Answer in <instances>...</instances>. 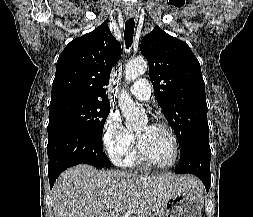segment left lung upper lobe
Segmentation results:
<instances>
[{
	"label": "left lung upper lobe",
	"mask_w": 253,
	"mask_h": 217,
	"mask_svg": "<svg viewBox=\"0 0 253 217\" xmlns=\"http://www.w3.org/2000/svg\"><path fill=\"white\" fill-rule=\"evenodd\" d=\"M140 50L148 60L155 97L179 146L193 135L208 137L205 83L190 47L156 26L144 36Z\"/></svg>",
	"instance_id": "5c2ea615"
}]
</instances>
